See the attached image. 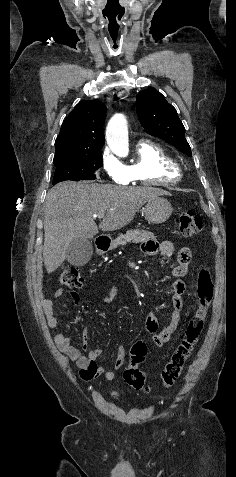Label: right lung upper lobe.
<instances>
[{"mask_svg":"<svg viewBox=\"0 0 236 477\" xmlns=\"http://www.w3.org/2000/svg\"><path fill=\"white\" fill-rule=\"evenodd\" d=\"M106 107L100 100H85L65 119L55 141L53 161L100 151L105 143L103 125Z\"/></svg>","mask_w":236,"mask_h":477,"instance_id":"1","label":"right lung upper lobe"}]
</instances>
